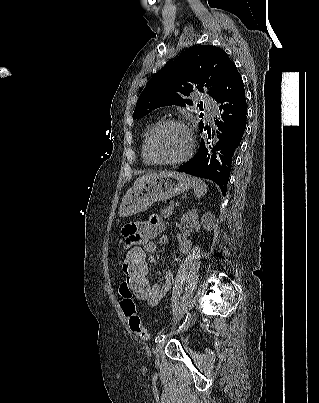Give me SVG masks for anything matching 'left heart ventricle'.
<instances>
[{
    "instance_id": "b2bd125f",
    "label": "left heart ventricle",
    "mask_w": 319,
    "mask_h": 403,
    "mask_svg": "<svg viewBox=\"0 0 319 403\" xmlns=\"http://www.w3.org/2000/svg\"><path fill=\"white\" fill-rule=\"evenodd\" d=\"M188 137L183 128L169 125L161 129L153 142L154 154L162 160L181 157L187 150Z\"/></svg>"
}]
</instances>
